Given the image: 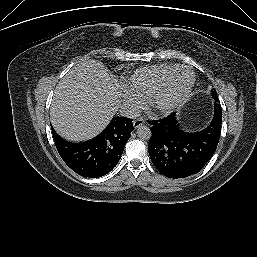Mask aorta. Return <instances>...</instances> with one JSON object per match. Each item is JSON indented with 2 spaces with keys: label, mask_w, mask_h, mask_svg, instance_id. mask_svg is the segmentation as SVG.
Listing matches in <instances>:
<instances>
[{
  "label": "aorta",
  "mask_w": 257,
  "mask_h": 257,
  "mask_svg": "<svg viewBox=\"0 0 257 257\" xmlns=\"http://www.w3.org/2000/svg\"><path fill=\"white\" fill-rule=\"evenodd\" d=\"M136 133L138 137L142 140H149L152 135L150 128L145 125L138 126Z\"/></svg>",
  "instance_id": "obj_1"
}]
</instances>
